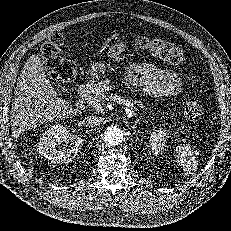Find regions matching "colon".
Wrapping results in <instances>:
<instances>
[{
	"mask_svg": "<svg viewBox=\"0 0 231 231\" xmlns=\"http://www.w3.org/2000/svg\"><path fill=\"white\" fill-rule=\"evenodd\" d=\"M64 41L65 38L61 33H55L44 43L41 52L49 75L53 79L67 82L75 77L77 70L74 61L63 51ZM135 45L137 48L147 50L173 65H180L185 60V54L181 47L161 39L143 36L136 40ZM197 86L201 87V84ZM183 111L190 119H196L202 113V106L198 99H189L183 103ZM187 131H191V127H187Z\"/></svg>",
	"mask_w": 231,
	"mask_h": 231,
	"instance_id": "colon-1",
	"label": "colon"
}]
</instances>
